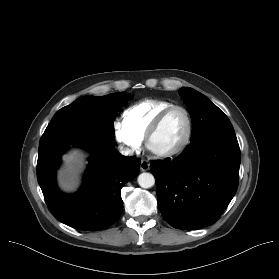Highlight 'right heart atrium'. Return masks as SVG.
<instances>
[{
	"mask_svg": "<svg viewBox=\"0 0 279 279\" xmlns=\"http://www.w3.org/2000/svg\"><path fill=\"white\" fill-rule=\"evenodd\" d=\"M114 136L121 147L129 153H135L141 149L142 139L126 128L122 122H115Z\"/></svg>",
	"mask_w": 279,
	"mask_h": 279,
	"instance_id": "1",
	"label": "right heart atrium"
}]
</instances>
